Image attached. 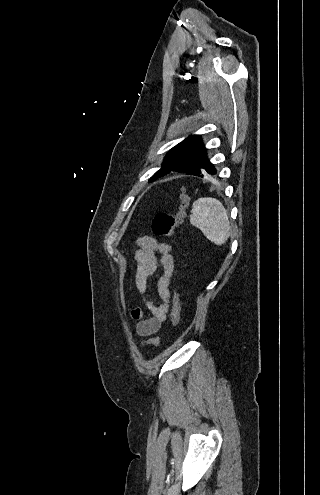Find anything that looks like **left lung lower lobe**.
Masks as SVG:
<instances>
[{
  "label": "left lung lower lobe",
  "instance_id": "0a47b994",
  "mask_svg": "<svg viewBox=\"0 0 320 495\" xmlns=\"http://www.w3.org/2000/svg\"><path fill=\"white\" fill-rule=\"evenodd\" d=\"M185 173L187 175H194L203 178L208 174L210 175L216 174V169L206 156L205 159L200 164L196 165L195 167L191 168Z\"/></svg>",
  "mask_w": 320,
  "mask_h": 495
}]
</instances>
